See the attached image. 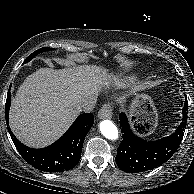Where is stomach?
<instances>
[{
	"label": "stomach",
	"mask_w": 194,
	"mask_h": 194,
	"mask_svg": "<svg viewBox=\"0 0 194 194\" xmlns=\"http://www.w3.org/2000/svg\"><path fill=\"white\" fill-rule=\"evenodd\" d=\"M131 124L135 130L149 136L158 126V113L148 94H137L130 107Z\"/></svg>",
	"instance_id": "stomach-1"
}]
</instances>
